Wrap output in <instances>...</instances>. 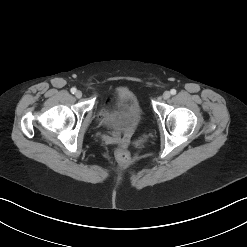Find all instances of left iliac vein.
<instances>
[{
  "mask_svg": "<svg viewBox=\"0 0 247 247\" xmlns=\"http://www.w3.org/2000/svg\"><path fill=\"white\" fill-rule=\"evenodd\" d=\"M170 96H171V94H170L169 91H165V92L163 93V99H165V100L169 99Z\"/></svg>",
  "mask_w": 247,
  "mask_h": 247,
  "instance_id": "4c4485c4",
  "label": "left iliac vein"
}]
</instances>
